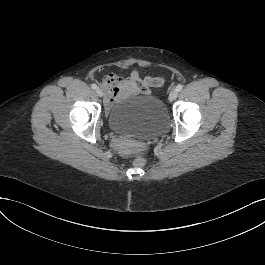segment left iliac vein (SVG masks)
I'll return each instance as SVG.
<instances>
[{
  "label": "left iliac vein",
  "instance_id": "obj_1",
  "mask_svg": "<svg viewBox=\"0 0 265 265\" xmlns=\"http://www.w3.org/2000/svg\"><path fill=\"white\" fill-rule=\"evenodd\" d=\"M178 96V91L176 89L172 90L169 94V101H174Z\"/></svg>",
  "mask_w": 265,
  "mask_h": 265
}]
</instances>
